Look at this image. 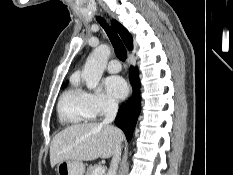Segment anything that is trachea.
Instances as JSON below:
<instances>
[{"instance_id": "1", "label": "trachea", "mask_w": 233, "mask_h": 175, "mask_svg": "<svg viewBox=\"0 0 233 175\" xmlns=\"http://www.w3.org/2000/svg\"><path fill=\"white\" fill-rule=\"evenodd\" d=\"M96 19L99 22V24L106 31V33H107V35H108V37L113 45V48H114V51H115V54L117 55V57L123 61L126 60L127 51H126V48H125L123 42L121 41V39L117 35V33L109 27V25L106 23L105 20H103V18L97 17Z\"/></svg>"}]
</instances>
